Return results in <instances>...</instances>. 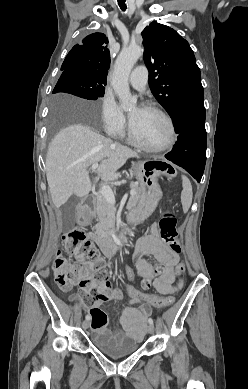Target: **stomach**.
<instances>
[{
	"instance_id": "obj_1",
	"label": "stomach",
	"mask_w": 248,
	"mask_h": 389,
	"mask_svg": "<svg viewBox=\"0 0 248 389\" xmlns=\"http://www.w3.org/2000/svg\"><path fill=\"white\" fill-rule=\"evenodd\" d=\"M133 169L136 172L139 182H135V189L142 190L137 206H130L129 226L135 225V220H147L151 211L157 206L162 197V190L158 183L161 175L171 178L177 175L176 164H163L162 161L145 160L133 162Z\"/></svg>"
}]
</instances>
